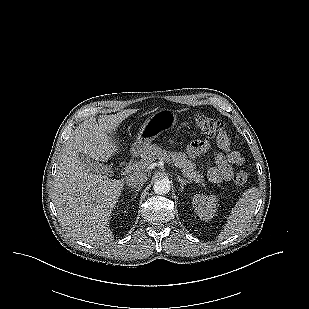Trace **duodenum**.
I'll list each match as a JSON object with an SVG mask.
<instances>
[{"label": "duodenum", "instance_id": "duodenum-1", "mask_svg": "<svg viewBox=\"0 0 309 309\" xmlns=\"http://www.w3.org/2000/svg\"><path fill=\"white\" fill-rule=\"evenodd\" d=\"M135 153H136V151H135V150H133V151H132V154H135Z\"/></svg>", "mask_w": 309, "mask_h": 309}]
</instances>
